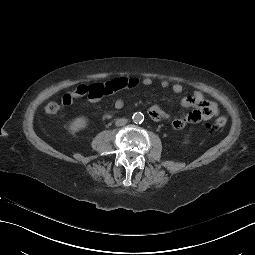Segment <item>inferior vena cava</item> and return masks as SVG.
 I'll use <instances>...</instances> for the list:
<instances>
[{"instance_id": "obj_1", "label": "inferior vena cava", "mask_w": 255, "mask_h": 255, "mask_svg": "<svg viewBox=\"0 0 255 255\" xmlns=\"http://www.w3.org/2000/svg\"><path fill=\"white\" fill-rule=\"evenodd\" d=\"M127 122H128L127 119H125V118H120V119H117V120H116L115 125H116V126H124Z\"/></svg>"}]
</instances>
